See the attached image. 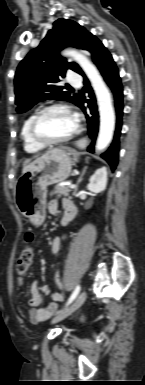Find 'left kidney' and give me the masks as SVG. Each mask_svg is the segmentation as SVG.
Returning a JSON list of instances; mask_svg holds the SVG:
<instances>
[{"label":"left kidney","mask_w":145,"mask_h":385,"mask_svg":"<svg viewBox=\"0 0 145 385\" xmlns=\"http://www.w3.org/2000/svg\"><path fill=\"white\" fill-rule=\"evenodd\" d=\"M107 185V168L105 166L97 169L95 173L90 177L88 190L93 193H102L106 189Z\"/></svg>","instance_id":"left-kidney-1"}]
</instances>
